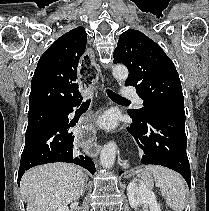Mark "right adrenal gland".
Here are the masks:
<instances>
[{
	"instance_id": "1",
	"label": "right adrenal gland",
	"mask_w": 209,
	"mask_h": 211,
	"mask_svg": "<svg viewBox=\"0 0 209 211\" xmlns=\"http://www.w3.org/2000/svg\"><path fill=\"white\" fill-rule=\"evenodd\" d=\"M88 179L86 178L85 180V184H84V189H83V193L85 192V190L88 188V184H87ZM82 193V194H83Z\"/></svg>"
}]
</instances>
